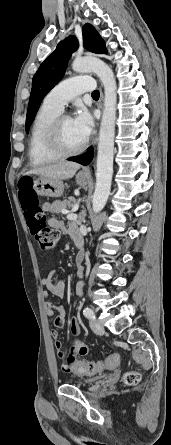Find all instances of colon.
I'll return each instance as SVG.
<instances>
[{"label":"colon","instance_id":"5ec220e1","mask_svg":"<svg viewBox=\"0 0 171 445\" xmlns=\"http://www.w3.org/2000/svg\"><path fill=\"white\" fill-rule=\"evenodd\" d=\"M19 202L31 235L36 240L39 250L44 253L51 252L58 244L60 233L57 229L48 224L47 216L40 206L37 193L32 189L30 180L24 179L20 183L18 191ZM77 352L80 355L88 353L87 347L79 342H74ZM116 361L114 354L108 357L107 364H113ZM106 364L104 362H77L74 363L72 371L80 375H94L101 371ZM141 379L137 371H127L123 375V381L126 385H136Z\"/></svg>","mask_w":171,"mask_h":445}]
</instances>
